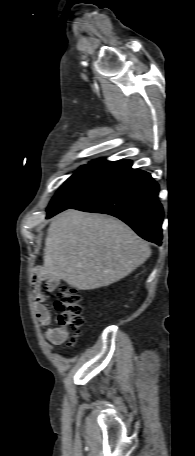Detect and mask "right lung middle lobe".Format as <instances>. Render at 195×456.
Here are the masks:
<instances>
[{"label":"right lung middle lobe","mask_w":195,"mask_h":456,"mask_svg":"<svg viewBox=\"0 0 195 456\" xmlns=\"http://www.w3.org/2000/svg\"><path fill=\"white\" fill-rule=\"evenodd\" d=\"M123 171L95 165L82 166L56 193L48 207V214L55 215L84 201L103 189Z\"/></svg>","instance_id":"1"}]
</instances>
